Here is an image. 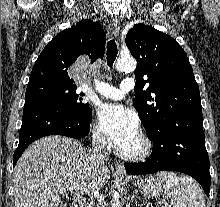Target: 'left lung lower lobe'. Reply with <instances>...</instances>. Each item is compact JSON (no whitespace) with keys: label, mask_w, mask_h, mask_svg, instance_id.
I'll return each instance as SVG.
<instances>
[{"label":"left lung lower lobe","mask_w":220,"mask_h":207,"mask_svg":"<svg viewBox=\"0 0 220 207\" xmlns=\"http://www.w3.org/2000/svg\"><path fill=\"white\" fill-rule=\"evenodd\" d=\"M148 137L153 140L151 157L144 163H127L128 173L182 172L195 178L209 195L211 177L201 108H188L170 116Z\"/></svg>","instance_id":"1"}]
</instances>
